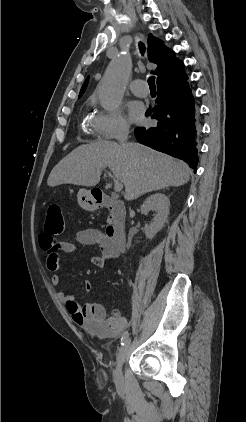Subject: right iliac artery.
I'll return each mask as SVG.
<instances>
[{
  "mask_svg": "<svg viewBox=\"0 0 246 422\" xmlns=\"http://www.w3.org/2000/svg\"><path fill=\"white\" fill-rule=\"evenodd\" d=\"M128 337H129V333H128V331H125L123 333L122 337H121V345H124V343L127 341Z\"/></svg>",
  "mask_w": 246,
  "mask_h": 422,
  "instance_id": "obj_1",
  "label": "right iliac artery"
}]
</instances>
